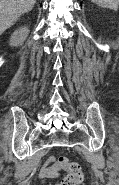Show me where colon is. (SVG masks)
<instances>
[{
  "label": "colon",
  "mask_w": 119,
  "mask_h": 185,
  "mask_svg": "<svg viewBox=\"0 0 119 185\" xmlns=\"http://www.w3.org/2000/svg\"><path fill=\"white\" fill-rule=\"evenodd\" d=\"M61 169L67 171V175L57 185H80L83 181V173L79 164L71 162L67 157L58 158Z\"/></svg>",
  "instance_id": "5ec220e1"
}]
</instances>
